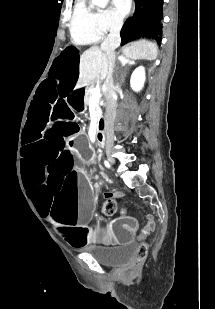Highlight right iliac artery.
<instances>
[{
  "label": "right iliac artery",
  "mask_w": 215,
  "mask_h": 309,
  "mask_svg": "<svg viewBox=\"0 0 215 309\" xmlns=\"http://www.w3.org/2000/svg\"><path fill=\"white\" fill-rule=\"evenodd\" d=\"M104 164H105L106 167H108V168L110 167L108 161H104Z\"/></svg>",
  "instance_id": "obj_1"
}]
</instances>
